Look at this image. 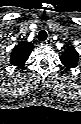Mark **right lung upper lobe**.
Listing matches in <instances>:
<instances>
[{"label":"right lung upper lobe","instance_id":"right-lung-upper-lobe-1","mask_svg":"<svg viewBox=\"0 0 81 124\" xmlns=\"http://www.w3.org/2000/svg\"><path fill=\"white\" fill-rule=\"evenodd\" d=\"M33 48L34 46L30 42H20L12 50L10 63L18 68L22 67L29 58Z\"/></svg>","mask_w":81,"mask_h":124}]
</instances>
